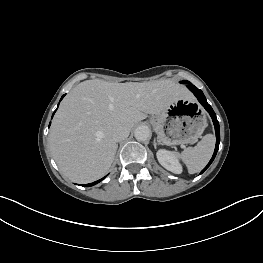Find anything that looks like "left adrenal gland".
I'll return each instance as SVG.
<instances>
[{
    "label": "left adrenal gland",
    "instance_id": "a2214340",
    "mask_svg": "<svg viewBox=\"0 0 263 263\" xmlns=\"http://www.w3.org/2000/svg\"><path fill=\"white\" fill-rule=\"evenodd\" d=\"M153 144H154V148L156 149V146L159 145L160 142H159V141H156V140L154 139Z\"/></svg>",
    "mask_w": 263,
    "mask_h": 263
}]
</instances>
